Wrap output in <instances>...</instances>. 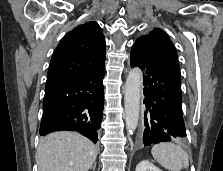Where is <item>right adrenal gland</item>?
I'll list each match as a JSON object with an SVG mask.
<instances>
[{"instance_id":"1","label":"right adrenal gland","mask_w":223,"mask_h":171,"mask_svg":"<svg viewBox=\"0 0 223 171\" xmlns=\"http://www.w3.org/2000/svg\"><path fill=\"white\" fill-rule=\"evenodd\" d=\"M95 168H96V162H95L94 165L91 167V169H92L93 171H95Z\"/></svg>"}]
</instances>
